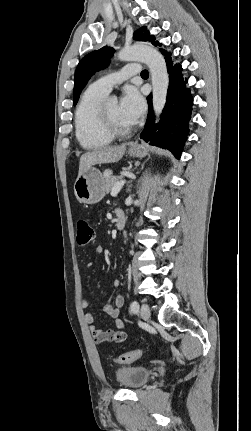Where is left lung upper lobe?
<instances>
[{
  "label": "left lung upper lobe",
  "instance_id": "obj_1",
  "mask_svg": "<svg viewBox=\"0 0 251 431\" xmlns=\"http://www.w3.org/2000/svg\"><path fill=\"white\" fill-rule=\"evenodd\" d=\"M134 38L140 41H151L154 43V36L147 32L146 27L137 30ZM114 49L112 47H102L99 50L90 52L84 56L79 62L75 72V85L73 91V104L76 105L80 93L88 80L96 71L104 69L109 64V58L113 55Z\"/></svg>",
  "mask_w": 251,
  "mask_h": 431
}]
</instances>
